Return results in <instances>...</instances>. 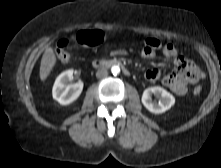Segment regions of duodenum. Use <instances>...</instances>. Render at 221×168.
Here are the masks:
<instances>
[{
  "mask_svg": "<svg viewBox=\"0 0 221 168\" xmlns=\"http://www.w3.org/2000/svg\"><path fill=\"white\" fill-rule=\"evenodd\" d=\"M92 65L96 69H108L113 66L121 67L125 75H130V70L127 66H125L120 60L112 59V60H103L96 59L92 62Z\"/></svg>",
  "mask_w": 221,
  "mask_h": 168,
  "instance_id": "1",
  "label": "duodenum"
}]
</instances>
